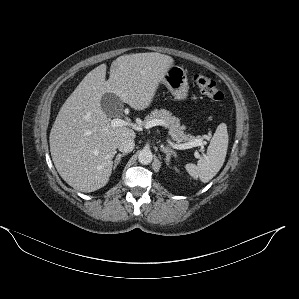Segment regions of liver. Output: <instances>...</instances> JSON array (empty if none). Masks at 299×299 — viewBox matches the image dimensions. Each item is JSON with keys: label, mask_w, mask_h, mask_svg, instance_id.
I'll return each mask as SVG.
<instances>
[{"label": "liver", "mask_w": 299, "mask_h": 299, "mask_svg": "<svg viewBox=\"0 0 299 299\" xmlns=\"http://www.w3.org/2000/svg\"><path fill=\"white\" fill-rule=\"evenodd\" d=\"M172 65L173 58L161 53L122 55L112 62L107 81L106 64L84 77L62 105L49 136L52 160L67 184L85 193L104 187L119 139L136 137L128 127L110 126L102 96L113 93L134 110H145Z\"/></svg>", "instance_id": "6515ba94"}]
</instances>
